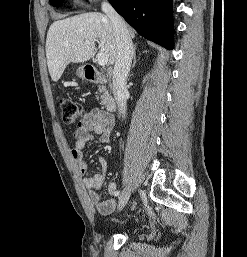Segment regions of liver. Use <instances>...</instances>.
Wrapping results in <instances>:
<instances>
[{
	"mask_svg": "<svg viewBox=\"0 0 247 257\" xmlns=\"http://www.w3.org/2000/svg\"><path fill=\"white\" fill-rule=\"evenodd\" d=\"M135 37L133 29H128ZM100 40V52L113 64L117 56V44L113 24L108 16L97 13H83L50 26L46 39V58L51 79L57 82L70 62L84 63L91 59L95 43ZM86 41H89L86 44Z\"/></svg>",
	"mask_w": 247,
	"mask_h": 257,
	"instance_id": "obj_1",
	"label": "liver"
}]
</instances>
